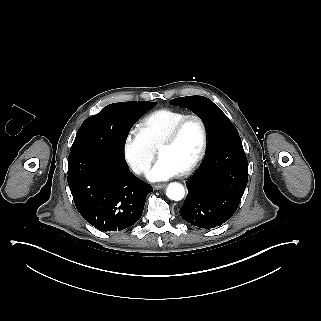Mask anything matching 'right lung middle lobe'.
<instances>
[{
	"label": "right lung middle lobe",
	"instance_id": "obj_1",
	"mask_svg": "<svg viewBox=\"0 0 321 321\" xmlns=\"http://www.w3.org/2000/svg\"><path fill=\"white\" fill-rule=\"evenodd\" d=\"M154 102H119L104 107L98 114L87 118L80 126L71 152L79 149H99L124 155L126 137H121L113 126L112 111L131 107L144 114Z\"/></svg>",
	"mask_w": 321,
	"mask_h": 321
}]
</instances>
